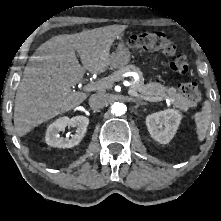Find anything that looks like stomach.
<instances>
[{"label":"stomach","instance_id":"stomach-1","mask_svg":"<svg viewBox=\"0 0 221 221\" xmlns=\"http://www.w3.org/2000/svg\"><path fill=\"white\" fill-rule=\"evenodd\" d=\"M130 62V51L125 42L120 38L116 50L110 55V66L114 69L125 67Z\"/></svg>","mask_w":221,"mask_h":221}]
</instances>
